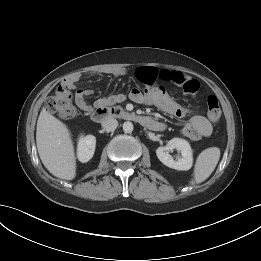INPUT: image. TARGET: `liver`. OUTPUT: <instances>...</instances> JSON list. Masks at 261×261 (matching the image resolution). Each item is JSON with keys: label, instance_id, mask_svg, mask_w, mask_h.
Segmentation results:
<instances>
[{"label": "liver", "instance_id": "liver-1", "mask_svg": "<svg viewBox=\"0 0 261 261\" xmlns=\"http://www.w3.org/2000/svg\"><path fill=\"white\" fill-rule=\"evenodd\" d=\"M36 143L40 159L51 174L65 180L75 178L76 157L69 129L45 108L38 117Z\"/></svg>", "mask_w": 261, "mask_h": 261}]
</instances>
